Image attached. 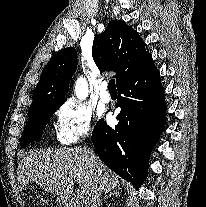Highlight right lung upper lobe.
Segmentation results:
<instances>
[{"label":"right lung upper lobe","mask_w":206,"mask_h":207,"mask_svg":"<svg viewBox=\"0 0 206 207\" xmlns=\"http://www.w3.org/2000/svg\"><path fill=\"white\" fill-rule=\"evenodd\" d=\"M93 59L101 71L116 72L117 85L132 75L150 56L137 31L121 20H113L95 37ZM77 67V51L69 47L58 52L44 67L33 94L29 112L47 104L64 103Z\"/></svg>","instance_id":"cb5924a9"}]
</instances>
